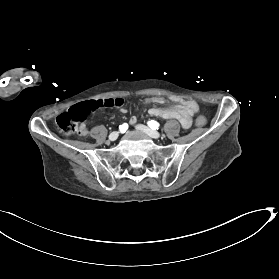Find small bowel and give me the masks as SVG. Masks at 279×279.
<instances>
[{
	"label": "small bowel",
	"mask_w": 279,
	"mask_h": 279,
	"mask_svg": "<svg viewBox=\"0 0 279 279\" xmlns=\"http://www.w3.org/2000/svg\"><path fill=\"white\" fill-rule=\"evenodd\" d=\"M171 101L175 102L176 104L171 107H152L149 109V114L152 116H157L161 118H173L177 119L184 129H188L192 125V113L176 98L172 97ZM167 100L163 97H152L145 100L147 104H156L162 105L166 103ZM121 113H126L127 110L125 108L120 109ZM137 118L136 116H131L129 119V124L133 126L136 124ZM87 128L84 124L81 125L80 135H86Z\"/></svg>",
	"instance_id": "1"
}]
</instances>
